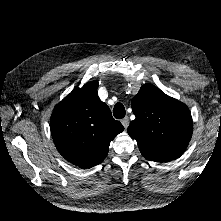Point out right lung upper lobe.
<instances>
[{"mask_svg": "<svg viewBox=\"0 0 221 221\" xmlns=\"http://www.w3.org/2000/svg\"><path fill=\"white\" fill-rule=\"evenodd\" d=\"M97 88L96 81L75 88L55 106L50 119L57 150L67 161L83 168L101 163L110 142L124 130L98 97Z\"/></svg>", "mask_w": 221, "mask_h": 221, "instance_id": "obj_1", "label": "right lung upper lobe"}]
</instances>
